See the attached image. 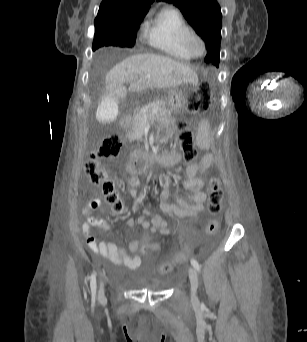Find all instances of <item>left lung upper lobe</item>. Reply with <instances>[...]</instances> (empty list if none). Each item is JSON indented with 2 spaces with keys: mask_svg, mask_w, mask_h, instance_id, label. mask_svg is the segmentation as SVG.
<instances>
[{
  "mask_svg": "<svg viewBox=\"0 0 307 342\" xmlns=\"http://www.w3.org/2000/svg\"><path fill=\"white\" fill-rule=\"evenodd\" d=\"M161 1V0H158ZM176 5L206 43L205 62L219 66L222 14L215 0H162Z\"/></svg>",
  "mask_w": 307,
  "mask_h": 342,
  "instance_id": "obj_1",
  "label": "left lung upper lobe"
}]
</instances>
